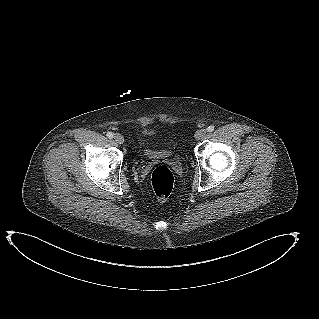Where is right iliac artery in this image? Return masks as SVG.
Listing matches in <instances>:
<instances>
[{"mask_svg": "<svg viewBox=\"0 0 319 319\" xmlns=\"http://www.w3.org/2000/svg\"><path fill=\"white\" fill-rule=\"evenodd\" d=\"M107 137L110 138V139L113 138V133L112 132H108L107 133Z\"/></svg>", "mask_w": 319, "mask_h": 319, "instance_id": "obj_1", "label": "right iliac artery"}]
</instances>
